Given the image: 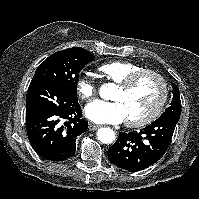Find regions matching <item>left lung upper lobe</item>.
I'll return each mask as SVG.
<instances>
[{
	"mask_svg": "<svg viewBox=\"0 0 199 199\" xmlns=\"http://www.w3.org/2000/svg\"><path fill=\"white\" fill-rule=\"evenodd\" d=\"M173 99L171 106L160 117H174L180 119L181 114V100L178 87L173 84Z\"/></svg>",
	"mask_w": 199,
	"mask_h": 199,
	"instance_id": "1",
	"label": "left lung upper lobe"
}]
</instances>
